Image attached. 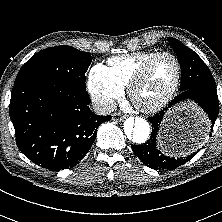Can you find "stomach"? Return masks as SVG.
I'll use <instances>...</instances> for the list:
<instances>
[{"mask_svg":"<svg viewBox=\"0 0 222 222\" xmlns=\"http://www.w3.org/2000/svg\"><path fill=\"white\" fill-rule=\"evenodd\" d=\"M206 124L204 114L194 105H183L171 112L163 123L161 148L171 156L186 155L194 149L187 146L186 137L202 135Z\"/></svg>","mask_w":222,"mask_h":222,"instance_id":"obj_1","label":"stomach"}]
</instances>
